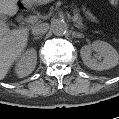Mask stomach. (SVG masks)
I'll return each instance as SVG.
<instances>
[{
  "mask_svg": "<svg viewBox=\"0 0 119 119\" xmlns=\"http://www.w3.org/2000/svg\"><path fill=\"white\" fill-rule=\"evenodd\" d=\"M49 1H52V0H32L31 3H36V2L43 3V2H49Z\"/></svg>",
  "mask_w": 119,
  "mask_h": 119,
  "instance_id": "stomach-1",
  "label": "stomach"
}]
</instances>
